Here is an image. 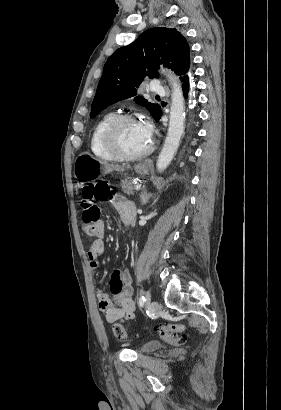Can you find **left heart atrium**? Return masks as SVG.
Instances as JSON below:
<instances>
[{
	"instance_id": "1",
	"label": "left heart atrium",
	"mask_w": 281,
	"mask_h": 410,
	"mask_svg": "<svg viewBox=\"0 0 281 410\" xmlns=\"http://www.w3.org/2000/svg\"><path fill=\"white\" fill-rule=\"evenodd\" d=\"M139 123V126L148 140H151L153 127L152 124L148 120H142Z\"/></svg>"
}]
</instances>
